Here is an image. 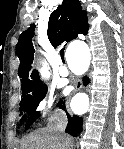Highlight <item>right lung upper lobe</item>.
I'll return each mask as SVG.
<instances>
[{
  "label": "right lung upper lobe",
  "mask_w": 124,
  "mask_h": 149,
  "mask_svg": "<svg viewBox=\"0 0 124 149\" xmlns=\"http://www.w3.org/2000/svg\"><path fill=\"white\" fill-rule=\"evenodd\" d=\"M86 12L82 11L78 0H63L62 5L55 9L49 18L47 35L50 43L57 47L77 38L78 34L86 35L89 29ZM35 25L31 24L26 31L22 32L16 47V55L20 60L18 75L21 78L22 87H33L43 85L40 81L38 71H31L34 57L32 37Z\"/></svg>",
  "instance_id": "right-lung-upper-lobe-1"
}]
</instances>
